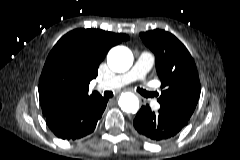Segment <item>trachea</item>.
Masks as SVG:
<instances>
[{"mask_svg":"<svg viewBox=\"0 0 240 160\" xmlns=\"http://www.w3.org/2000/svg\"><path fill=\"white\" fill-rule=\"evenodd\" d=\"M138 92H139L141 95L145 96V97H149V96H152V95H153L152 93H149V92H147V91H145V90H143V89H138ZM104 96H105V97H112V96H113V93H112L111 91H105V92H104Z\"/></svg>","mask_w":240,"mask_h":160,"instance_id":"3493384b","label":"trachea"}]
</instances>
